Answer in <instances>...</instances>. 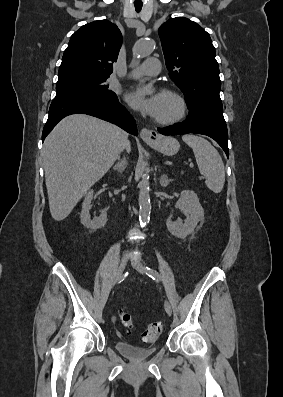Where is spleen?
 Here are the masks:
<instances>
[{"label": "spleen", "instance_id": "3e777b00", "mask_svg": "<svg viewBox=\"0 0 283 397\" xmlns=\"http://www.w3.org/2000/svg\"><path fill=\"white\" fill-rule=\"evenodd\" d=\"M182 140L192 148L206 186L214 193H220L225 182V170L218 151L200 136L187 134L182 136Z\"/></svg>", "mask_w": 283, "mask_h": 397}]
</instances>
